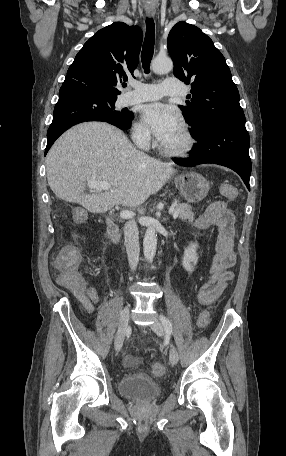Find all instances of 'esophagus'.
Listing matches in <instances>:
<instances>
[{
	"label": "esophagus",
	"instance_id": "34e87169",
	"mask_svg": "<svg viewBox=\"0 0 286 456\" xmlns=\"http://www.w3.org/2000/svg\"><path fill=\"white\" fill-rule=\"evenodd\" d=\"M154 14H155L154 11H148L147 12V16L150 17V18L153 17Z\"/></svg>",
	"mask_w": 286,
	"mask_h": 456
}]
</instances>
